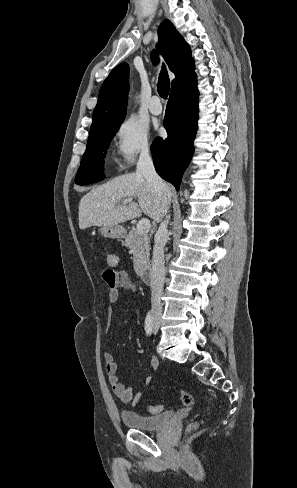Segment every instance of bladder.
<instances>
[{
    "mask_svg": "<svg viewBox=\"0 0 297 488\" xmlns=\"http://www.w3.org/2000/svg\"><path fill=\"white\" fill-rule=\"evenodd\" d=\"M173 415L174 413L172 411L157 415H140L132 411H123L121 412V420L127 428L141 431H156L165 427Z\"/></svg>",
    "mask_w": 297,
    "mask_h": 488,
    "instance_id": "31cf9c89",
    "label": "bladder"
}]
</instances>
